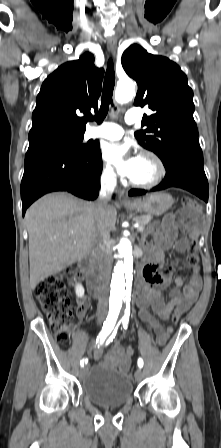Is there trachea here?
Instances as JSON below:
<instances>
[{
  "mask_svg": "<svg viewBox=\"0 0 221 448\" xmlns=\"http://www.w3.org/2000/svg\"><path fill=\"white\" fill-rule=\"evenodd\" d=\"M115 86V72H114V64L113 60L110 58L108 60L107 70L105 74L103 91H102V99L101 106L98 113L95 116H91L89 120H95L98 124L102 123L104 118L106 117L109 109V105L113 106V90Z\"/></svg>",
  "mask_w": 221,
  "mask_h": 448,
  "instance_id": "obj_1",
  "label": "trachea"
}]
</instances>
